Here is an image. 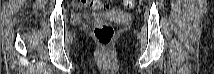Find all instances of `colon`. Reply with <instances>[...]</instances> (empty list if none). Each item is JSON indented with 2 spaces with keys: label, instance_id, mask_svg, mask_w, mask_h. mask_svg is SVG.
<instances>
[{
  "label": "colon",
  "instance_id": "colon-1",
  "mask_svg": "<svg viewBox=\"0 0 214 74\" xmlns=\"http://www.w3.org/2000/svg\"><path fill=\"white\" fill-rule=\"evenodd\" d=\"M122 4L125 8L130 9L134 7L135 1L123 0ZM87 6L94 10H106L109 8V4L107 2L97 0L87 1ZM94 35L99 44L102 46L103 51L106 52L114 39L115 29L109 22L97 21L94 27Z\"/></svg>",
  "mask_w": 214,
  "mask_h": 74
}]
</instances>
